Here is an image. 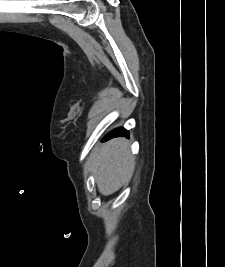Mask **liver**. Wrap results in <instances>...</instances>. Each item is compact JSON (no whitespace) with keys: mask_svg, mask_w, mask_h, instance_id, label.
Wrapping results in <instances>:
<instances>
[{"mask_svg":"<svg viewBox=\"0 0 225 267\" xmlns=\"http://www.w3.org/2000/svg\"><path fill=\"white\" fill-rule=\"evenodd\" d=\"M134 169L129 142L123 138L95 148L85 164V170L94 174L98 190L104 196L118 191L131 179Z\"/></svg>","mask_w":225,"mask_h":267,"instance_id":"6515ba94","label":"liver"}]
</instances>
